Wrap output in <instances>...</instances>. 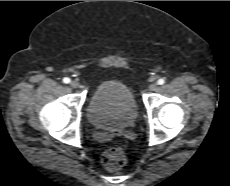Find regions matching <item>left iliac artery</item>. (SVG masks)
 Instances as JSON below:
<instances>
[{"instance_id": "1", "label": "left iliac artery", "mask_w": 230, "mask_h": 186, "mask_svg": "<svg viewBox=\"0 0 230 186\" xmlns=\"http://www.w3.org/2000/svg\"><path fill=\"white\" fill-rule=\"evenodd\" d=\"M157 83H158L159 85H163V84L165 83V80H164V79H159V80L157 81Z\"/></svg>"}]
</instances>
